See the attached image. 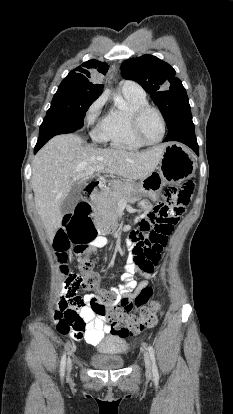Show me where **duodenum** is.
Segmentation results:
<instances>
[{
  "mask_svg": "<svg viewBox=\"0 0 233 414\" xmlns=\"http://www.w3.org/2000/svg\"><path fill=\"white\" fill-rule=\"evenodd\" d=\"M100 188L111 189L112 186L104 181H95L86 185L83 188L85 195L81 199V202L84 205H93L97 203L99 190ZM93 220H99L97 223L98 229L101 232H111L117 230L121 227L120 223L116 220H101L103 218V213L101 211L94 210Z\"/></svg>",
  "mask_w": 233,
  "mask_h": 414,
  "instance_id": "1",
  "label": "duodenum"
}]
</instances>
